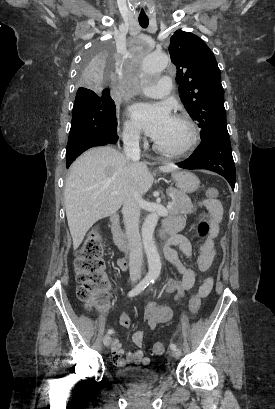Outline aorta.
Returning a JSON list of instances; mask_svg holds the SVG:
<instances>
[{
	"label": "aorta",
	"instance_id": "1",
	"mask_svg": "<svg viewBox=\"0 0 275 409\" xmlns=\"http://www.w3.org/2000/svg\"><path fill=\"white\" fill-rule=\"evenodd\" d=\"M144 59V70H146L148 74L161 72V70L166 68L169 62V58L165 56L164 51H145ZM158 219V213H151V215H148L147 219H145L142 227L143 247L148 261V273L145 277L147 281H155L161 273V261L153 239V233Z\"/></svg>",
	"mask_w": 275,
	"mask_h": 409
}]
</instances>
